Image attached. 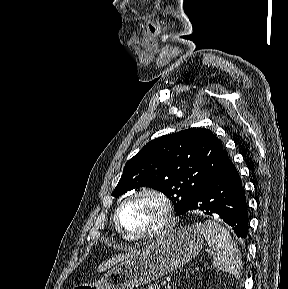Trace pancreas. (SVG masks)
<instances>
[{
	"instance_id": "1",
	"label": "pancreas",
	"mask_w": 288,
	"mask_h": 289,
	"mask_svg": "<svg viewBox=\"0 0 288 289\" xmlns=\"http://www.w3.org/2000/svg\"><path fill=\"white\" fill-rule=\"evenodd\" d=\"M145 289H160L157 285H150L146 287Z\"/></svg>"
}]
</instances>
